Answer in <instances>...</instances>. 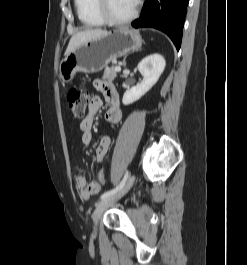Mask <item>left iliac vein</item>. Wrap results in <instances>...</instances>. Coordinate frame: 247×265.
I'll use <instances>...</instances> for the list:
<instances>
[{"mask_svg":"<svg viewBox=\"0 0 247 265\" xmlns=\"http://www.w3.org/2000/svg\"><path fill=\"white\" fill-rule=\"evenodd\" d=\"M135 181V176H131L128 181L124 184V186L118 190L116 193L103 198L96 206L92 218H93V222H94V231H96V225L101 217V215L103 214V212L110 206L112 205L115 201H117L118 199H120L122 196H124L129 189L132 187L133 183Z\"/></svg>","mask_w":247,"mask_h":265,"instance_id":"left-iliac-vein-1","label":"left iliac vein"}]
</instances>
